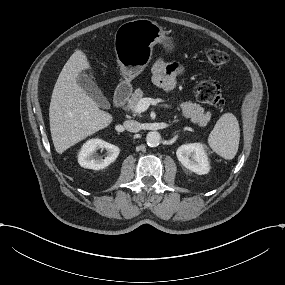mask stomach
<instances>
[{"label":"stomach","instance_id":"stomach-1","mask_svg":"<svg viewBox=\"0 0 285 285\" xmlns=\"http://www.w3.org/2000/svg\"><path fill=\"white\" fill-rule=\"evenodd\" d=\"M157 43H163L167 52H172L175 47L173 40L165 36L163 28L155 21L136 19L118 27L114 50L126 82L138 76L148 65Z\"/></svg>","mask_w":285,"mask_h":285}]
</instances>
